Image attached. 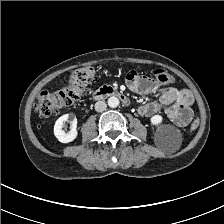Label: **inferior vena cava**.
I'll return each instance as SVG.
<instances>
[{
	"label": "inferior vena cava",
	"instance_id": "inferior-vena-cava-1",
	"mask_svg": "<svg viewBox=\"0 0 224 224\" xmlns=\"http://www.w3.org/2000/svg\"><path fill=\"white\" fill-rule=\"evenodd\" d=\"M107 108V104L104 101H98L95 103V110L97 112H103L104 110H106Z\"/></svg>",
	"mask_w": 224,
	"mask_h": 224
}]
</instances>
